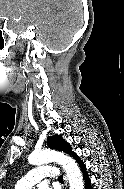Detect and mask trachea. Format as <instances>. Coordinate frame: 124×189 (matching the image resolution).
Listing matches in <instances>:
<instances>
[{
	"mask_svg": "<svg viewBox=\"0 0 124 189\" xmlns=\"http://www.w3.org/2000/svg\"><path fill=\"white\" fill-rule=\"evenodd\" d=\"M58 180H59V181H63V176L60 175V176L58 177Z\"/></svg>",
	"mask_w": 124,
	"mask_h": 189,
	"instance_id": "1",
	"label": "trachea"
}]
</instances>
